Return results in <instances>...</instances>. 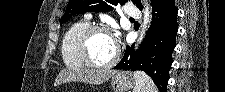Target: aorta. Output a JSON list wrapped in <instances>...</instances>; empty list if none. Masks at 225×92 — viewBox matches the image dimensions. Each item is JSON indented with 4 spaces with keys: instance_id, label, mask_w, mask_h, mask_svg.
Instances as JSON below:
<instances>
[{
    "instance_id": "1",
    "label": "aorta",
    "mask_w": 225,
    "mask_h": 92,
    "mask_svg": "<svg viewBox=\"0 0 225 92\" xmlns=\"http://www.w3.org/2000/svg\"><path fill=\"white\" fill-rule=\"evenodd\" d=\"M150 20V8H149V4L148 3H144V25H143V29H142V34L139 37V41L142 40L143 35L145 34V29H146V25Z\"/></svg>"
}]
</instances>
